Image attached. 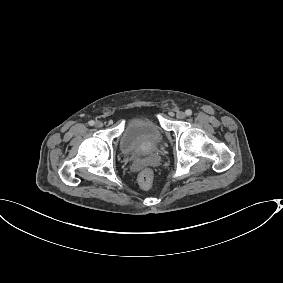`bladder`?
Wrapping results in <instances>:
<instances>
[{"mask_svg": "<svg viewBox=\"0 0 283 283\" xmlns=\"http://www.w3.org/2000/svg\"><path fill=\"white\" fill-rule=\"evenodd\" d=\"M165 134L160 124L147 115L134 114L125 121L120 150L126 154L155 151L164 142Z\"/></svg>", "mask_w": 283, "mask_h": 283, "instance_id": "31cf9c89", "label": "bladder"}]
</instances>
